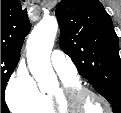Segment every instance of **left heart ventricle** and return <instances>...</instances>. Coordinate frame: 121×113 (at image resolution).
<instances>
[{
    "instance_id": "b2bd125f",
    "label": "left heart ventricle",
    "mask_w": 121,
    "mask_h": 113,
    "mask_svg": "<svg viewBox=\"0 0 121 113\" xmlns=\"http://www.w3.org/2000/svg\"><path fill=\"white\" fill-rule=\"evenodd\" d=\"M84 112L105 113V106L96 97L91 95L84 96L81 106L78 108Z\"/></svg>"
}]
</instances>
